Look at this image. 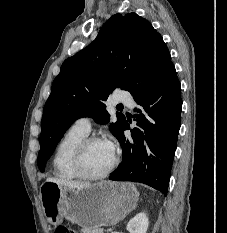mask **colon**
I'll list each match as a JSON object with an SVG mask.
<instances>
[{
	"mask_svg": "<svg viewBox=\"0 0 227 233\" xmlns=\"http://www.w3.org/2000/svg\"><path fill=\"white\" fill-rule=\"evenodd\" d=\"M54 233H76V232L74 230H72L71 228L59 226L56 228Z\"/></svg>",
	"mask_w": 227,
	"mask_h": 233,
	"instance_id": "1",
	"label": "colon"
}]
</instances>
